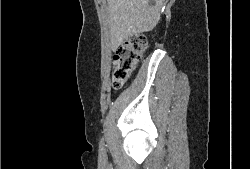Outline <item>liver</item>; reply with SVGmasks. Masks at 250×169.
I'll return each instance as SVG.
<instances>
[{"mask_svg": "<svg viewBox=\"0 0 250 169\" xmlns=\"http://www.w3.org/2000/svg\"><path fill=\"white\" fill-rule=\"evenodd\" d=\"M164 0H107L112 50L127 36L148 32L161 18Z\"/></svg>", "mask_w": 250, "mask_h": 169, "instance_id": "liver-1", "label": "liver"}]
</instances>
